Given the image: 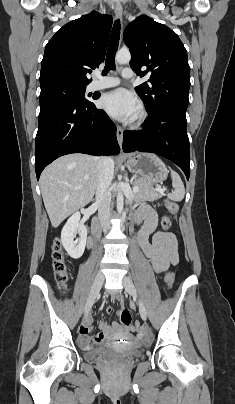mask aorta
<instances>
[{"label":"aorta","mask_w":235,"mask_h":404,"mask_svg":"<svg viewBox=\"0 0 235 404\" xmlns=\"http://www.w3.org/2000/svg\"><path fill=\"white\" fill-rule=\"evenodd\" d=\"M115 59L116 62L119 64H127L131 60V54L128 50L121 49L120 51L117 52ZM123 205H124L123 194L121 193V191H119L117 194V210L119 213L122 212Z\"/></svg>","instance_id":"1"}]
</instances>
